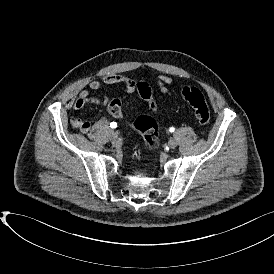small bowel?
Segmentation results:
<instances>
[{"instance_id": "small-bowel-1", "label": "small bowel", "mask_w": 274, "mask_h": 274, "mask_svg": "<svg viewBox=\"0 0 274 274\" xmlns=\"http://www.w3.org/2000/svg\"><path fill=\"white\" fill-rule=\"evenodd\" d=\"M173 80L171 77L161 75L157 79V85L160 91L164 94L169 93V87L172 85ZM117 85L124 84V91L126 93H132L136 89L135 82L121 74H107L102 76L101 80H90L88 82V89L82 90L73 103L75 110H81L88 103H95L102 106H106L109 103V99L106 96H95L91 91H98L102 85ZM71 125L74 128L79 129L82 133H88L91 129V123L87 120H83L79 117L71 118Z\"/></svg>"}]
</instances>
